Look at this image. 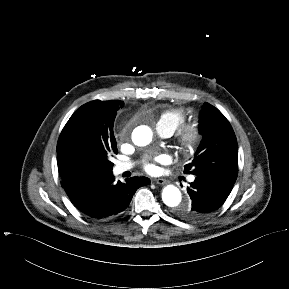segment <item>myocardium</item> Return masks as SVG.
<instances>
[{
    "mask_svg": "<svg viewBox=\"0 0 289 289\" xmlns=\"http://www.w3.org/2000/svg\"><path fill=\"white\" fill-rule=\"evenodd\" d=\"M176 139L179 148L184 153L193 152L198 147L202 139V130L199 122L190 121L184 123L178 129Z\"/></svg>",
    "mask_w": 289,
    "mask_h": 289,
    "instance_id": "myocardium-1",
    "label": "myocardium"
}]
</instances>
